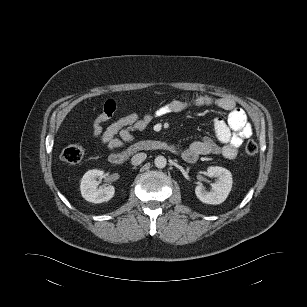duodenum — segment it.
Wrapping results in <instances>:
<instances>
[{
    "instance_id": "410a0bca",
    "label": "duodenum",
    "mask_w": 307,
    "mask_h": 307,
    "mask_svg": "<svg viewBox=\"0 0 307 307\" xmlns=\"http://www.w3.org/2000/svg\"><path fill=\"white\" fill-rule=\"evenodd\" d=\"M169 146L160 140H144L132 144L126 150L118 153H112L109 156V161L113 166H122L126 163L130 156L138 152H149L157 150H166Z\"/></svg>"
}]
</instances>
